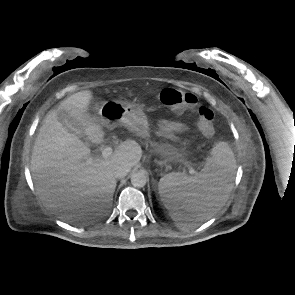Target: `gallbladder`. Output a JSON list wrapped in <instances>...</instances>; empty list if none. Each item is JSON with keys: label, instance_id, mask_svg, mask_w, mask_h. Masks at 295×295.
<instances>
[{"label": "gallbladder", "instance_id": "1", "mask_svg": "<svg viewBox=\"0 0 295 295\" xmlns=\"http://www.w3.org/2000/svg\"><path fill=\"white\" fill-rule=\"evenodd\" d=\"M58 120L62 124L64 128H66L69 132L73 133L74 135L79 136L78 129L74 126L70 116L65 112L58 113Z\"/></svg>", "mask_w": 295, "mask_h": 295}]
</instances>
